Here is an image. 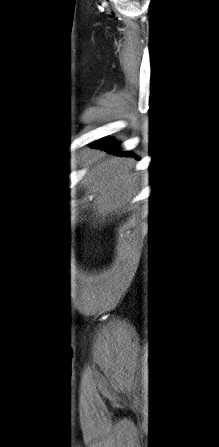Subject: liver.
Returning a JSON list of instances; mask_svg holds the SVG:
<instances>
[{"label":"liver","instance_id":"1","mask_svg":"<svg viewBox=\"0 0 219 447\" xmlns=\"http://www.w3.org/2000/svg\"><path fill=\"white\" fill-rule=\"evenodd\" d=\"M82 161V167L87 169L83 184L94 193L95 214L102 221L108 214H119L142 183V174L134 169V161L100 152L84 153Z\"/></svg>","mask_w":219,"mask_h":447}]
</instances>
